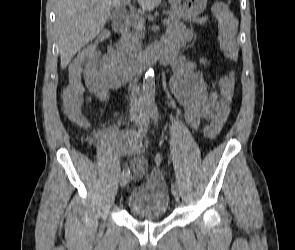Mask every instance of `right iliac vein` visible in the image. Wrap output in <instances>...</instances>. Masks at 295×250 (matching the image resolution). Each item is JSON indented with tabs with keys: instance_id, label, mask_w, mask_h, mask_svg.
I'll return each mask as SVG.
<instances>
[{
	"instance_id": "obj_1",
	"label": "right iliac vein",
	"mask_w": 295,
	"mask_h": 250,
	"mask_svg": "<svg viewBox=\"0 0 295 250\" xmlns=\"http://www.w3.org/2000/svg\"><path fill=\"white\" fill-rule=\"evenodd\" d=\"M134 120H135L136 124L139 123V118H135ZM130 181H131V176H130V174L122 175V177H121V181H120V185H121V187H125V186H127V185L129 184Z\"/></svg>"
}]
</instances>
